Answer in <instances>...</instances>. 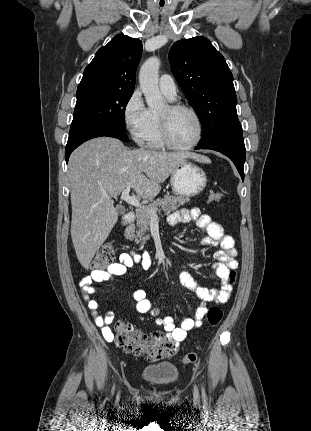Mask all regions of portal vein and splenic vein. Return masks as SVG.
Returning a JSON list of instances; mask_svg holds the SVG:
<instances>
[{
	"label": "portal vein and splenic vein",
	"instance_id": "portal-vein-and-splenic-vein-1",
	"mask_svg": "<svg viewBox=\"0 0 311 431\" xmlns=\"http://www.w3.org/2000/svg\"><path fill=\"white\" fill-rule=\"evenodd\" d=\"M131 188H126V190H123L120 200H124L126 204H130V206H134V208H144V206H141L140 200L136 198V196H130ZM104 198H109V196H104ZM151 217H158L157 212H154V210H149Z\"/></svg>",
	"mask_w": 311,
	"mask_h": 431
}]
</instances>
